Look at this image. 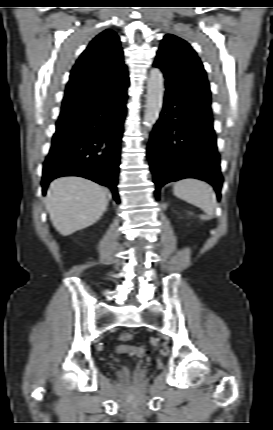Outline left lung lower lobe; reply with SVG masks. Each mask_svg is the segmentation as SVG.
Masks as SVG:
<instances>
[{
	"label": "left lung lower lobe",
	"mask_w": 273,
	"mask_h": 430,
	"mask_svg": "<svg viewBox=\"0 0 273 430\" xmlns=\"http://www.w3.org/2000/svg\"><path fill=\"white\" fill-rule=\"evenodd\" d=\"M162 111L147 148L155 195L168 182L197 178L213 185L219 199L223 179L212 118L178 99L168 84Z\"/></svg>",
	"instance_id": "1"
}]
</instances>
